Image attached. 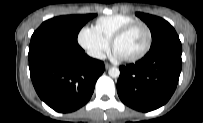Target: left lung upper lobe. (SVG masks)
I'll list each match as a JSON object with an SVG mask.
<instances>
[{
  "label": "left lung upper lobe",
  "mask_w": 203,
  "mask_h": 123,
  "mask_svg": "<svg viewBox=\"0 0 203 123\" xmlns=\"http://www.w3.org/2000/svg\"><path fill=\"white\" fill-rule=\"evenodd\" d=\"M136 15L150 28L152 35L151 48H155L170 40L179 39L173 26H171V24L166 20L141 12H137Z\"/></svg>",
  "instance_id": "obj_1"
}]
</instances>
